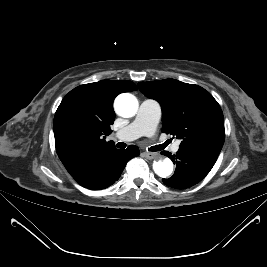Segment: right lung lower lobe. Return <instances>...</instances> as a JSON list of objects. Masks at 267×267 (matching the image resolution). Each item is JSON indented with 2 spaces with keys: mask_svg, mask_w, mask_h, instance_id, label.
Here are the masks:
<instances>
[{
  "mask_svg": "<svg viewBox=\"0 0 267 267\" xmlns=\"http://www.w3.org/2000/svg\"><path fill=\"white\" fill-rule=\"evenodd\" d=\"M137 146L127 149H100L84 158L74 169L68 171L83 187L105 189L119 179L127 162L139 155Z\"/></svg>",
  "mask_w": 267,
  "mask_h": 267,
  "instance_id": "98d812e1",
  "label": "right lung lower lobe"
}]
</instances>
